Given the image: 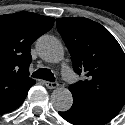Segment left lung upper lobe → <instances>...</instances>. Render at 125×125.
I'll use <instances>...</instances> for the list:
<instances>
[{
	"label": "left lung upper lobe",
	"instance_id": "5c2ea615",
	"mask_svg": "<svg viewBox=\"0 0 125 125\" xmlns=\"http://www.w3.org/2000/svg\"><path fill=\"white\" fill-rule=\"evenodd\" d=\"M74 71L87 79L69 87L74 102L125 104V54L102 25L87 18H57Z\"/></svg>",
	"mask_w": 125,
	"mask_h": 125
}]
</instances>
